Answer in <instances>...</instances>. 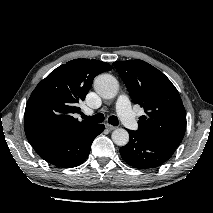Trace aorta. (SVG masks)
<instances>
[{
	"label": "aorta",
	"instance_id": "obj_1",
	"mask_svg": "<svg viewBox=\"0 0 213 213\" xmlns=\"http://www.w3.org/2000/svg\"><path fill=\"white\" fill-rule=\"evenodd\" d=\"M95 91L105 99L114 98L119 89L118 81L110 74H101L94 81ZM112 140L118 146H125L129 142L127 130L118 128L112 132Z\"/></svg>",
	"mask_w": 213,
	"mask_h": 213
}]
</instances>
